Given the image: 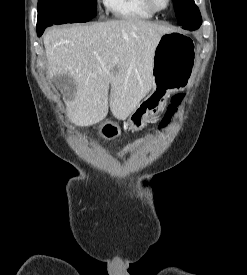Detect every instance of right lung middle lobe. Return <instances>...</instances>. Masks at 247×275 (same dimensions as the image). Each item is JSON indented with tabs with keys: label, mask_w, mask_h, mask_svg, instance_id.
I'll list each match as a JSON object with an SVG mask.
<instances>
[{
	"label": "right lung middle lobe",
	"mask_w": 247,
	"mask_h": 275,
	"mask_svg": "<svg viewBox=\"0 0 247 275\" xmlns=\"http://www.w3.org/2000/svg\"><path fill=\"white\" fill-rule=\"evenodd\" d=\"M96 14V0H38L37 27L87 22Z\"/></svg>",
	"instance_id": "1"
}]
</instances>
